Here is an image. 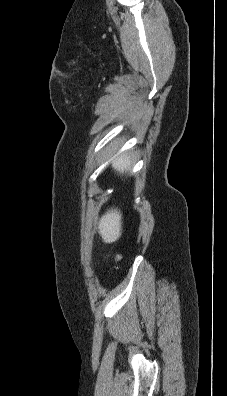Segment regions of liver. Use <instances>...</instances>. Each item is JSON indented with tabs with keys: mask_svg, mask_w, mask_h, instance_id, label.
Returning a JSON list of instances; mask_svg holds the SVG:
<instances>
[{
	"mask_svg": "<svg viewBox=\"0 0 227 396\" xmlns=\"http://www.w3.org/2000/svg\"><path fill=\"white\" fill-rule=\"evenodd\" d=\"M113 168L119 173H123L131 166L130 157L121 155L113 162ZM122 215L117 209H111L99 221L98 232L105 243H113L121 236L122 231Z\"/></svg>",
	"mask_w": 227,
	"mask_h": 396,
	"instance_id": "6515ba94",
	"label": "liver"
}]
</instances>
